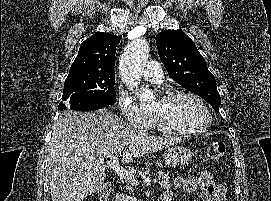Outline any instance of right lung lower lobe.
<instances>
[{
    "instance_id": "1",
    "label": "right lung lower lobe",
    "mask_w": 271,
    "mask_h": 201,
    "mask_svg": "<svg viewBox=\"0 0 271 201\" xmlns=\"http://www.w3.org/2000/svg\"><path fill=\"white\" fill-rule=\"evenodd\" d=\"M88 104L83 103L81 100L79 101H74V102H60L59 104V110H64V109H71V110H76V111H92V110H98L102 108H106L108 105L105 104H99L96 106H86Z\"/></svg>"
}]
</instances>
